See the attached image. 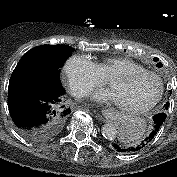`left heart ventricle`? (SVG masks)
<instances>
[{"mask_svg":"<svg viewBox=\"0 0 177 177\" xmlns=\"http://www.w3.org/2000/svg\"><path fill=\"white\" fill-rule=\"evenodd\" d=\"M118 104L138 106L149 101L158 90L157 81L149 76L116 80L110 86Z\"/></svg>","mask_w":177,"mask_h":177,"instance_id":"left-heart-ventricle-1","label":"left heart ventricle"}]
</instances>
